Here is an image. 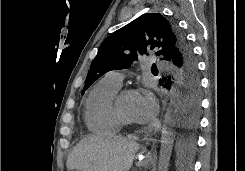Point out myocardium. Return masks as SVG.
<instances>
[{
	"label": "myocardium",
	"instance_id": "f54148a6",
	"mask_svg": "<svg viewBox=\"0 0 245 171\" xmlns=\"http://www.w3.org/2000/svg\"><path fill=\"white\" fill-rule=\"evenodd\" d=\"M133 94H138V91L136 89H132V88L123 89L120 92H118L113 99V102H112L113 112H114L117 120L120 122L121 125H124V126H134L135 125L134 121L126 118L122 114L120 107H119L120 100L123 97H125L127 95H133Z\"/></svg>",
	"mask_w": 245,
	"mask_h": 171
}]
</instances>
